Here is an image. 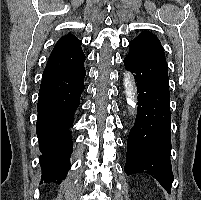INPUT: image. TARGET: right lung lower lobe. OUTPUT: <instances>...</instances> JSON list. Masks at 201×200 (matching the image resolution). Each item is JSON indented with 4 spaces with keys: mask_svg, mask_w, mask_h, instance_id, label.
I'll list each match as a JSON object with an SVG mask.
<instances>
[{
    "mask_svg": "<svg viewBox=\"0 0 201 200\" xmlns=\"http://www.w3.org/2000/svg\"><path fill=\"white\" fill-rule=\"evenodd\" d=\"M84 64L64 77L43 81L39 89L36 132L41 164V183L60 184L70 168L72 137L69 128L84 91Z\"/></svg>",
    "mask_w": 201,
    "mask_h": 200,
    "instance_id": "right-lung-lower-lobe-1",
    "label": "right lung lower lobe"
}]
</instances>
